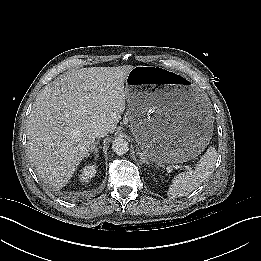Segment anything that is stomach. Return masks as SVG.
<instances>
[{"instance_id":"stomach-1","label":"stomach","mask_w":261,"mask_h":261,"mask_svg":"<svg viewBox=\"0 0 261 261\" xmlns=\"http://www.w3.org/2000/svg\"><path fill=\"white\" fill-rule=\"evenodd\" d=\"M159 76L167 79L156 83ZM125 89L133 134L151 162L183 163L207 146L212 117L186 78L159 67L137 66L129 72Z\"/></svg>"}]
</instances>
